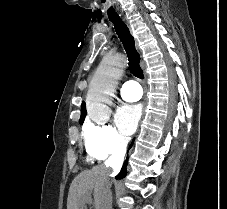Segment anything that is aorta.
Returning a JSON list of instances; mask_svg holds the SVG:
<instances>
[{"label":"aorta","mask_w":227,"mask_h":209,"mask_svg":"<svg viewBox=\"0 0 227 209\" xmlns=\"http://www.w3.org/2000/svg\"><path fill=\"white\" fill-rule=\"evenodd\" d=\"M126 58L122 54L106 56L90 82L87 94V112L94 121L105 118L110 109L108 103L115 91L117 80L122 76Z\"/></svg>","instance_id":"aorta-1"}]
</instances>
